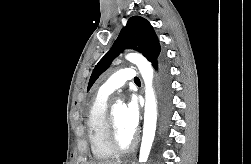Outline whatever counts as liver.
Listing matches in <instances>:
<instances>
[{"instance_id": "1", "label": "liver", "mask_w": 251, "mask_h": 164, "mask_svg": "<svg viewBox=\"0 0 251 164\" xmlns=\"http://www.w3.org/2000/svg\"><path fill=\"white\" fill-rule=\"evenodd\" d=\"M96 164V163H93ZM97 164H120L119 161H105V162H98Z\"/></svg>"}]
</instances>
